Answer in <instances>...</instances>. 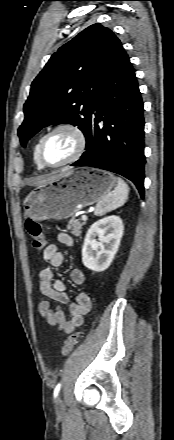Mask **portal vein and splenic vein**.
I'll return each instance as SVG.
<instances>
[{
    "label": "portal vein and splenic vein",
    "instance_id": "1",
    "mask_svg": "<svg viewBox=\"0 0 174 440\" xmlns=\"http://www.w3.org/2000/svg\"><path fill=\"white\" fill-rule=\"evenodd\" d=\"M81 219H82L83 221H87L88 217H87L86 215H82V216H81Z\"/></svg>",
    "mask_w": 174,
    "mask_h": 440
}]
</instances>
